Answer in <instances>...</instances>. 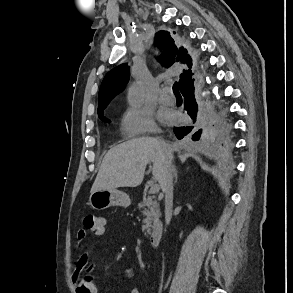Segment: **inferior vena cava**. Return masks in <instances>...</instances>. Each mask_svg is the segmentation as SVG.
I'll return each mask as SVG.
<instances>
[{"label":"inferior vena cava","mask_w":293,"mask_h":293,"mask_svg":"<svg viewBox=\"0 0 293 293\" xmlns=\"http://www.w3.org/2000/svg\"><path fill=\"white\" fill-rule=\"evenodd\" d=\"M163 148L168 151L169 147L164 141H160ZM174 166L172 165V156L168 157L166 164V171L161 182L162 191L165 194V221L168 225L171 219V211L173 206V175H174Z\"/></svg>","instance_id":"obj_1"}]
</instances>
